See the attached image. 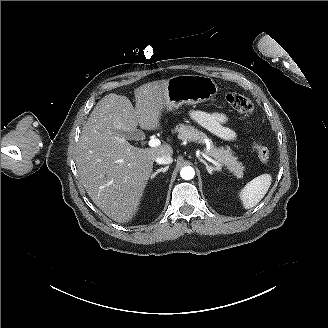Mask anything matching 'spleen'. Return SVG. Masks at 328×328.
I'll return each instance as SVG.
<instances>
[{
    "label": "spleen",
    "mask_w": 328,
    "mask_h": 328,
    "mask_svg": "<svg viewBox=\"0 0 328 328\" xmlns=\"http://www.w3.org/2000/svg\"><path fill=\"white\" fill-rule=\"evenodd\" d=\"M272 177L270 174H262L247 183L239 193V197L245 209L256 206L268 192Z\"/></svg>",
    "instance_id": "3e777b00"
}]
</instances>
